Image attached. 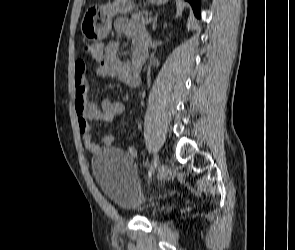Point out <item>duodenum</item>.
<instances>
[{"label":"duodenum","mask_w":295,"mask_h":250,"mask_svg":"<svg viewBox=\"0 0 295 250\" xmlns=\"http://www.w3.org/2000/svg\"><path fill=\"white\" fill-rule=\"evenodd\" d=\"M144 60H145V58H142V60H141V61H142V62H144Z\"/></svg>","instance_id":"obj_1"}]
</instances>
